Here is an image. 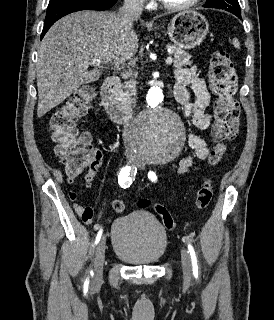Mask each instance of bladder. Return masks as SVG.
I'll use <instances>...</instances> for the list:
<instances>
[{
	"label": "bladder",
	"instance_id": "31cf9c89",
	"mask_svg": "<svg viewBox=\"0 0 274 320\" xmlns=\"http://www.w3.org/2000/svg\"><path fill=\"white\" fill-rule=\"evenodd\" d=\"M111 241L115 256L132 265H154L164 257L168 247L164 226L155 216L141 210L114 220Z\"/></svg>",
	"mask_w": 274,
	"mask_h": 320
}]
</instances>
